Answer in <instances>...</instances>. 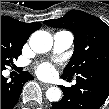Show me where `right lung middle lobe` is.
<instances>
[{
	"mask_svg": "<svg viewBox=\"0 0 109 109\" xmlns=\"http://www.w3.org/2000/svg\"><path fill=\"white\" fill-rule=\"evenodd\" d=\"M24 42L1 32V70L13 63L21 54Z\"/></svg>",
	"mask_w": 109,
	"mask_h": 109,
	"instance_id": "1",
	"label": "right lung middle lobe"
}]
</instances>
